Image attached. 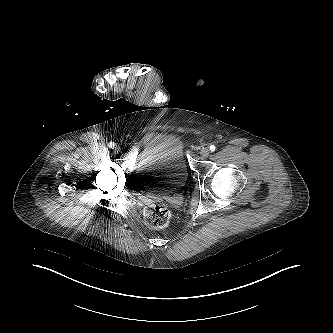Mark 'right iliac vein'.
I'll return each instance as SVG.
<instances>
[{
  "instance_id": "63e3f726",
  "label": "right iliac vein",
  "mask_w": 333,
  "mask_h": 333,
  "mask_svg": "<svg viewBox=\"0 0 333 333\" xmlns=\"http://www.w3.org/2000/svg\"><path fill=\"white\" fill-rule=\"evenodd\" d=\"M114 150H115V152L118 153V152H120L121 149H120V147L116 146Z\"/></svg>"
}]
</instances>
